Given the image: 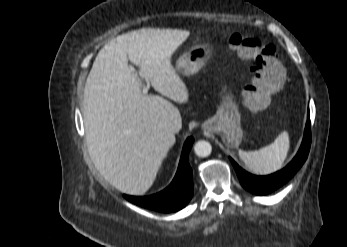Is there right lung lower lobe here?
Returning a JSON list of instances; mask_svg holds the SVG:
<instances>
[{
    "instance_id": "1",
    "label": "right lung lower lobe",
    "mask_w": 347,
    "mask_h": 247,
    "mask_svg": "<svg viewBox=\"0 0 347 247\" xmlns=\"http://www.w3.org/2000/svg\"><path fill=\"white\" fill-rule=\"evenodd\" d=\"M193 141L194 139L189 137L184 143L177 173L165 190L145 197L123 196L138 206L164 213L185 207L193 195V173L188 162Z\"/></svg>"
}]
</instances>
